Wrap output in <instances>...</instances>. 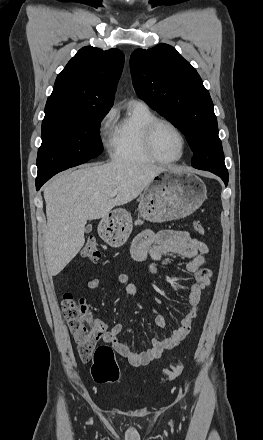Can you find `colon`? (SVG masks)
I'll list each match as a JSON object with an SVG mask.
<instances>
[{"label": "colon", "instance_id": "1", "mask_svg": "<svg viewBox=\"0 0 263 440\" xmlns=\"http://www.w3.org/2000/svg\"><path fill=\"white\" fill-rule=\"evenodd\" d=\"M194 228L204 234L201 222H195ZM82 255L90 261L100 258V251L94 239H88L83 246ZM61 307L69 329L77 342V353L81 360H92V376L96 382H115L120 378L118 366L111 347L97 345L99 331L94 325V318L89 306L82 298H75L70 293L62 296ZM184 367L183 362H175L162 373V381L168 382L177 377Z\"/></svg>", "mask_w": 263, "mask_h": 440}]
</instances>
